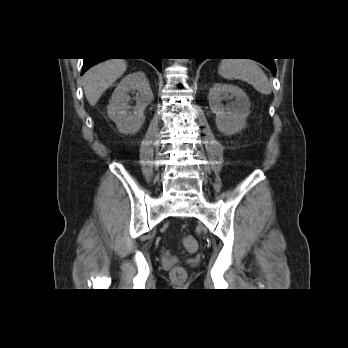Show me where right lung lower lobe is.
<instances>
[{
	"instance_id": "right-lung-lower-lobe-1",
	"label": "right lung lower lobe",
	"mask_w": 348,
	"mask_h": 348,
	"mask_svg": "<svg viewBox=\"0 0 348 348\" xmlns=\"http://www.w3.org/2000/svg\"><path fill=\"white\" fill-rule=\"evenodd\" d=\"M104 59H98V58H85L81 75H83L91 66L103 61ZM149 62H151L159 71L162 70L161 67V59L160 58H154V59H147Z\"/></svg>"
}]
</instances>
